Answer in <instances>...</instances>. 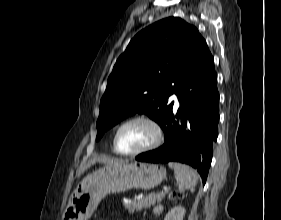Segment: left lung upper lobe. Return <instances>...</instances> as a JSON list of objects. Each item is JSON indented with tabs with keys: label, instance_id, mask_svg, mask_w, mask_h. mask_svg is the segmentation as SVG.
Masks as SVG:
<instances>
[{
	"label": "left lung upper lobe",
	"instance_id": "1",
	"mask_svg": "<svg viewBox=\"0 0 281 220\" xmlns=\"http://www.w3.org/2000/svg\"><path fill=\"white\" fill-rule=\"evenodd\" d=\"M208 51L197 28L178 17L141 30L120 55L100 102L97 138L135 113H145L161 128L172 112L170 95L192 64Z\"/></svg>",
	"mask_w": 281,
	"mask_h": 220
}]
</instances>
